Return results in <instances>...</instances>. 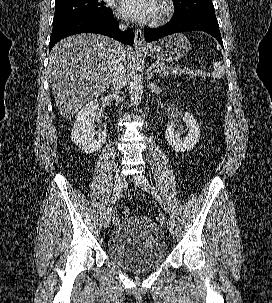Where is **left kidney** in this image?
Segmentation results:
<instances>
[{
    "label": "left kidney",
    "mask_w": 272,
    "mask_h": 303,
    "mask_svg": "<svg viewBox=\"0 0 272 303\" xmlns=\"http://www.w3.org/2000/svg\"><path fill=\"white\" fill-rule=\"evenodd\" d=\"M183 121L189 129L188 134L182 139L180 133L175 131V125L170 123L167 125L165 138L168 144L176 151L184 152L194 148L200 137V128L196 119L192 114L186 112Z\"/></svg>",
    "instance_id": "5707ae66"
}]
</instances>
